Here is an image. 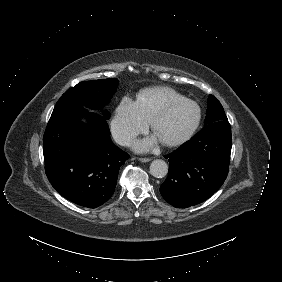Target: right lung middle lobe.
<instances>
[{
	"instance_id": "dd1d6c3e",
	"label": "right lung middle lobe",
	"mask_w": 282,
	"mask_h": 282,
	"mask_svg": "<svg viewBox=\"0 0 282 282\" xmlns=\"http://www.w3.org/2000/svg\"><path fill=\"white\" fill-rule=\"evenodd\" d=\"M116 78L80 82L67 90L55 105L53 113L68 106H86L101 109L106 105L118 87ZM107 119L109 114L105 116Z\"/></svg>"
}]
</instances>
